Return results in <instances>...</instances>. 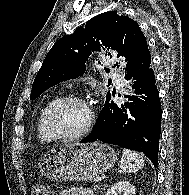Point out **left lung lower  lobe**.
Returning <instances> with one entry per match:
<instances>
[{
    "label": "left lung lower lobe",
    "instance_id": "1",
    "mask_svg": "<svg viewBox=\"0 0 189 195\" xmlns=\"http://www.w3.org/2000/svg\"><path fill=\"white\" fill-rule=\"evenodd\" d=\"M131 95L128 102L115 104L106 99L92 133L81 142L102 141L143 152L158 163L161 103L151 58L125 76Z\"/></svg>",
    "mask_w": 189,
    "mask_h": 195
}]
</instances>
